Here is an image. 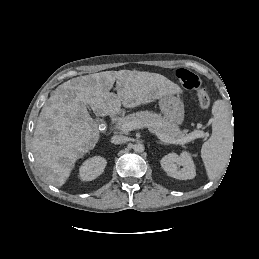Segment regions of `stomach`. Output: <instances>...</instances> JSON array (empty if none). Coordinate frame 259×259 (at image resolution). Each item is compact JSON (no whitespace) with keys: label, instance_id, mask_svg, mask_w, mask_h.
<instances>
[{"label":"stomach","instance_id":"stomach-1","mask_svg":"<svg viewBox=\"0 0 259 259\" xmlns=\"http://www.w3.org/2000/svg\"><path fill=\"white\" fill-rule=\"evenodd\" d=\"M159 107L166 119L171 120L178 126L183 123L184 105L178 97L168 95L160 98Z\"/></svg>","mask_w":259,"mask_h":259}]
</instances>
